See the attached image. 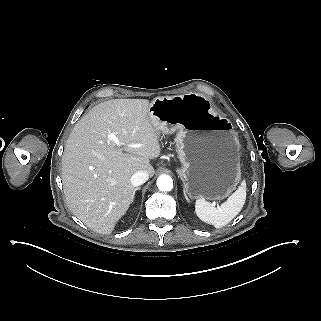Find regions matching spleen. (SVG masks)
<instances>
[{
  "mask_svg": "<svg viewBox=\"0 0 321 321\" xmlns=\"http://www.w3.org/2000/svg\"><path fill=\"white\" fill-rule=\"evenodd\" d=\"M246 198L245 182L229 197V199L221 205V207H213L210 203L200 199L195 203V212L197 217L215 228L227 225L241 211Z\"/></svg>",
  "mask_w": 321,
  "mask_h": 321,
  "instance_id": "3e777b00",
  "label": "spleen"
}]
</instances>
